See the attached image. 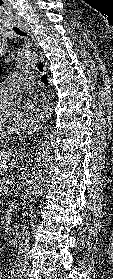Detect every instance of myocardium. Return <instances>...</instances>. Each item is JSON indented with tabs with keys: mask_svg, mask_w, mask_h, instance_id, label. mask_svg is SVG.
Wrapping results in <instances>:
<instances>
[{
	"mask_svg": "<svg viewBox=\"0 0 113 279\" xmlns=\"http://www.w3.org/2000/svg\"><path fill=\"white\" fill-rule=\"evenodd\" d=\"M12 107L13 105L6 104L0 109V136L5 140L16 139L22 135L20 130L11 128L7 123L9 111Z\"/></svg>",
	"mask_w": 113,
	"mask_h": 279,
	"instance_id": "f54148a6",
	"label": "myocardium"
}]
</instances>
